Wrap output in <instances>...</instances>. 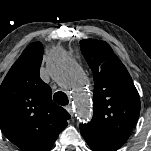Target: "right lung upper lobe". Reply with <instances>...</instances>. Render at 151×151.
<instances>
[{
    "mask_svg": "<svg viewBox=\"0 0 151 151\" xmlns=\"http://www.w3.org/2000/svg\"><path fill=\"white\" fill-rule=\"evenodd\" d=\"M42 58V44L31 43L0 86L1 130L22 151H49L70 118L40 79Z\"/></svg>",
    "mask_w": 151,
    "mask_h": 151,
    "instance_id": "right-lung-upper-lobe-1",
    "label": "right lung upper lobe"
}]
</instances>
